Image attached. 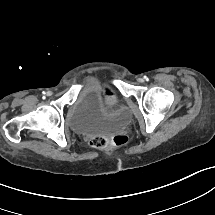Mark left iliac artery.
<instances>
[{"label":"left iliac artery","instance_id":"44dca946","mask_svg":"<svg viewBox=\"0 0 215 215\" xmlns=\"http://www.w3.org/2000/svg\"><path fill=\"white\" fill-rule=\"evenodd\" d=\"M144 79H145L146 81H148V77H147V76H144Z\"/></svg>","mask_w":215,"mask_h":215}]
</instances>
